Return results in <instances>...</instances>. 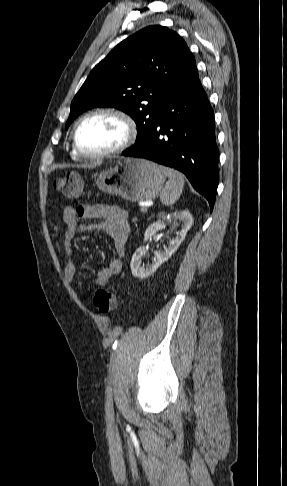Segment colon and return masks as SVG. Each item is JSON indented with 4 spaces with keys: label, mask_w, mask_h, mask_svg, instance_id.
Returning a JSON list of instances; mask_svg holds the SVG:
<instances>
[{
    "label": "colon",
    "mask_w": 287,
    "mask_h": 486,
    "mask_svg": "<svg viewBox=\"0 0 287 486\" xmlns=\"http://www.w3.org/2000/svg\"><path fill=\"white\" fill-rule=\"evenodd\" d=\"M84 181L76 173H67L54 181V189L66 198L80 197L84 192ZM93 304L102 314L116 310L117 297L106 289H98L93 296Z\"/></svg>",
    "instance_id": "1"
}]
</instances>
